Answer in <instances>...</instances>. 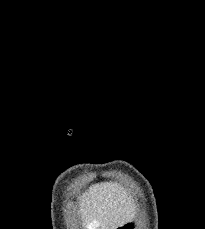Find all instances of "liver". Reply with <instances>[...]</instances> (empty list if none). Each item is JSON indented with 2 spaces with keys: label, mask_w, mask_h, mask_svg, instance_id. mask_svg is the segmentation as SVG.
Wrapping results in <instances>:
<instances>
[{
  "label": "liver",
  "mask_w": 205,
  "mask_h": 229,
  "mask_svg": "<svg viewBox=\"0 0 205 229\" xmlns=\"http://www.w3.org/2000/svg\"><path fill=\"white\" fill-rule=\"evenodd\" d=\"M79 212L88 229H116L134 217V208L126 193L109 183L91 186L82 197Z\"/></svg>",
  "instance_id": "liver-1"
}]
</instances>
